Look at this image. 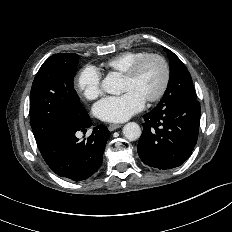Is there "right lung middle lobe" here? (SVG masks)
<instances>
[{
    "label": "right lung middle lobe",
    "mask_w": 232,
    "mask_h": 232,
    "mask_svg": "<svg viewBox=\"0 0 232 232\" xmlns=\"http://www.w3.org/2000/svg\"><path fill=\"white\" fill-rule=\"evenodd\" d=\"M79 56L59 53L49 57L34 78L30 94V121L39 150L62 122H80L87 112L74 89Z\"/></svg>",
    "instance_id": "dd1d6c3e"
}]
</instances>
